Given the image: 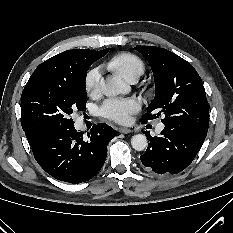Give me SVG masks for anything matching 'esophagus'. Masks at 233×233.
Returning a JSON list of instances; mask_svg holds the SVG:
<instances>
[{
  "mask_svg": "<svg viewBox=\"0 0 233 233\" xmlns=\"http://www.w3.org/2000/svg\"><path fill=\"white\" fill-rule=\"evenodd\" d=\"M118 131H119L120 133H123V134H128V133L131 132V129L125 128V127H120V128L118 129Z\"/></svg>",
  "mask_w": 233,
  "mask_h": 233,
  "instance_id": "esophagus-1",
  "label": "esophagus"
}]
</instances>
